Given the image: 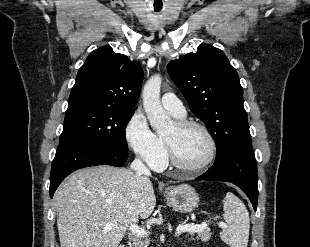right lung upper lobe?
<instances>
[{"label": "right lung upper lobe", "mask_w": 310, "mask_h": 247, "mask_svg": "<svg viewBox=\"0 0 310 247\" xmlns=\"http://www.w3.org/2000/svg\"><path fill=\"white\" fill-rule=\"evenodd\" d=\"M142 80V67L137 61L114 53L111 47L98 48L78 71L68 109L134 111Z\"/></svg>", "instance_id": "cb5924a9"}]
</instances>
